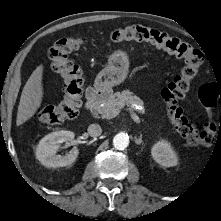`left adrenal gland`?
Here are the masks:
<instances>
[{
  "mask_svg": "<svg viewBox=\"0 0 221 221\" xmlns=\"http://www.w3.org/2000/svg\"><path fill=\"white\" fill-rule=\"evenodd\" d=\"M135 143L138 144V145H140L142 143V135H140L139 138L135 137Z\"/></svg>",
  "mask_w": 221,
  "mask_h": 221,
  "instance_id": "1",
  "label": "left adrenal gland"
}]
</instances>
